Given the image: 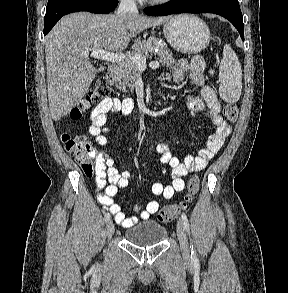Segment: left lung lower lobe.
I'll list each match as a JSON object with an SVG mask.
<instances>
[{"mask_svg": "<svg viewBox=\"0 0 288 293\" xmlns=\"http://www.w3.org/2000/svg\"><path fill=\"white\" fill-rule=\"evenodd\" d=\"M144 12L149 16L179 13L218 14L235 26L244 41L243 17L237 0H171L159 6L145 8Z\"/></svg>", "mask_w": 288, "mask_h": 293, "instance_id": "left-lung-lower-lobe-1", "label": "left lung lower lobe"}]
</instances>
